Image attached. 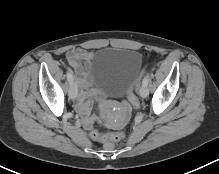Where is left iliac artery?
Listing matches in <instances>:
<instances>
[{
  "mask_svg": "<svg viewBox=\"0 0 219 174\" xmlns=\"http://www.w3.org/2000/svg\"><path fill=\"white\" fill-rule=\"evenodd\" d=\"M148 82H149V76L147 75V76L144 77V79H143V81H142V84L145 85V86H147V85H148Z\"/></svg>",
  "mask_w": 219,
  "mask_h": 174,
  "instance_id": "44dca946",
  "label": "left iliac artery"
}]
</instances>
